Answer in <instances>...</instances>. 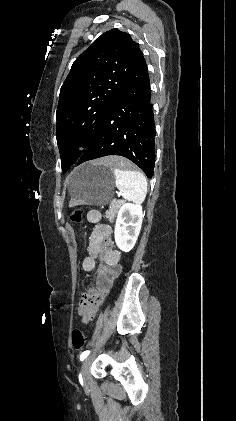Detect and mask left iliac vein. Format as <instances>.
<instances>
[{"mask_svg": "<svg viewBox=\"0 0 236 421\" xmlns=\"http://www.w3.org/2000/svg\"><path fill=\"white\" fill-rule=\"evenodd\" d=\"M91 362H92V358L88 357L84 360L81 367L82 381H83L84 386L88 385Z\"/></svg>", "mask_w": 236, "mask_h": 421, "instance_id": "1", "label": "left iliac vein"}]
</instances>
